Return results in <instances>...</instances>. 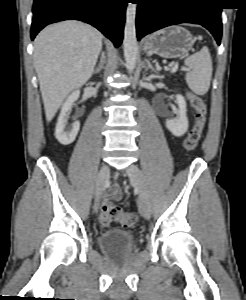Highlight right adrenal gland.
I'll return each instance as SVG.
<instances>
[{
	"label": "right adrenal gland",
	"mask_w": 246,
	"mask_h": 300,
	"mask_svg": "<svg viewBox=\"0 0 246 300\" xmlns=\"http://www.w3.org/2000/svg\"><path fill=\"white\" fill-rule=\"evenodd\" d=\"M104 59H105V56H104V53L102 54V60H101V63L99 64V66L93 71L94 74H97L101 71V69L103 68V64H104Z\"/></svg>",
	"instance_id": "1"
}]
</instances>
